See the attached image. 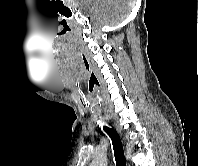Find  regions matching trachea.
Masks as SVG:
<instances>
[{
  "mask_svg": "<svg viewBox=\"0 0 198 166\" xmlns=\"http://www.w3.org/2000/svg\"><path fill=\"white\" fill-rule=\"evenodd\" d=\"M103 129L111 138L113 150H114V156H115V160H116V165L117 166H126V160H125L123 146L121 143L120 136L118 135V133L115 130H113L107 126H104Z\"/></svg>",
  "mask_w": 198,
  "mask_h": 166,
  "instance_id": "obj_1",
  "label": "trachea"
}]
</instances>
